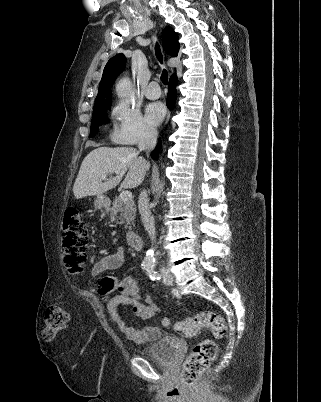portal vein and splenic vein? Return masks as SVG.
<instances>
[{
    "instance_id": "portal-vein-and-splenic-vein-1",
    "label": "portal vein and splenic vein",
    "mask_w": 321,
    "mask_h": 402,
    "mask_svg": "<svg viewBox=\"0 0 321 402\" xmlns=\"http://www.w3.org/2000/svg\"><path fill=\"white\" fill-rule=\"evenodd\" d=\"M106 177H107V175L104 174V175H102L101 178H102V179H106ZM120 198H121L122 201H124V202L129 201V200L132 199V193H131L130 191H128V190L122 191L121 194H120Z\"/></svg>"
}]
</instances>
